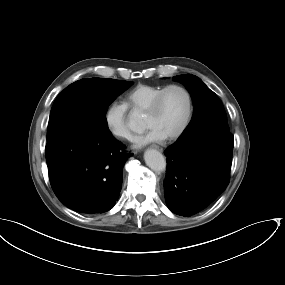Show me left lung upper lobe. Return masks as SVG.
Wrapping results in <instances>:
<instances>
[{"instance_id": "5c2ea615", "label": "left lung upper lobe", "mask_w": 285, "mask_h": 285, "mask_svg": "<svg viewBox=\"0 0 285 285\" xmlns=\"http://www.w3.org/2000/svg\"><path fill=\"white\" fill-rule=\"evenodd\" d=\"M183 83L190 92L194 102L193 117L178 140L202 131L230 132L227 116L221 100L200 78L191 74L174 77Z\"/></svg>"}]
</instances>
